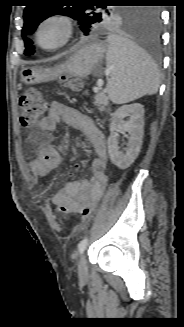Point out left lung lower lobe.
Returning <instances> with one entry per match:
<instances>
[{
    "label": "left lung lower lobe",
    "instance_id": "0a47b994",
    "mask_svg": "<svg viewBox=\"0 0 184 327\" xmlns=\"http://www.w3.org/2000/svg\"><path fill=\"white\" fill-rule=\"evenodd\" d=\"M160 19L155 9L145 8L135 26L137 46L153 56L158 55L160 50Z\"/></svg>",
    "mask_w": 184,
    "mask_h": 327
}]
</instances>
